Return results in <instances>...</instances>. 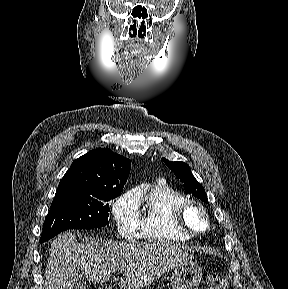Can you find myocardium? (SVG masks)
<instances>
[{
  "mask_svg": "<svg viewBox=\"0 0 288 289\" xmlns=\"http://www.w3.org/2000/svg\"><path fill=\"white\" fill-rule=\"evenodd\" d=\"M190 207H194L202 213L204 220H205V228H203L202 230L194 231L190 229L189 226L186 224L185 213L187 209H189ZM173 220H174L175 225L180 230H182L187 235H189L190 237H196V236L202 235L210 229V220H209V215H208L207 210L200 202L193 200V199H186L178 203L174 207Z\"/></svg>",
  "mask_w": 288,
  "mask_h": 289,
  "instance_id": "myocardium-1",
  "label": "myocardium"
}]
</instances>
